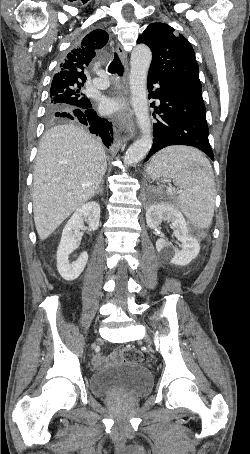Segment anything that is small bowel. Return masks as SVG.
<instances>
[{"label": "small bowel", "instance_id": "small-bowel-1", "mask_svg": "<svg viewBox=\"0 0 250 454\" xmlns=\"http://www.w3.org/2000/svg\"><path fill=\"white\" fill-rule=\"evenodd\" d=\"M105 362H106V357L103 355L98 354L94 357V364L97 366L103 365Z\"/></svg>", "mask_w": 250, "mask_h": 454}]
</instances>
